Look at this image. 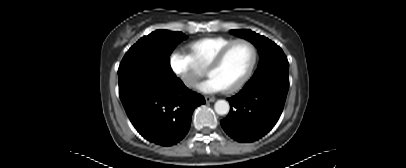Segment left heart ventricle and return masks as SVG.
<instances>
[{"instance_id": "b2bd125f", "label": "left heart ventricle", "mask_w": 406, "mask_h": 168, "mask_svg": "<svg viewBox=\"0 0 406 168\" xmlns=\"http://www.w3.org/2000/svg\"><path fill=\"white\" fill-rule=\"evenodd\" d=\"M252 60V49L246 43L234 45L221 64L210 72L223 88L235 84L246 72Z\"/></svg>"}]
</instances>
